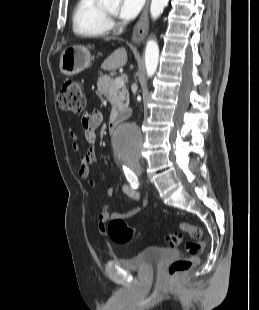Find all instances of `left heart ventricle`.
<instances>
[{
	"instance_id": "obj_1",
	"label": "left heart ventricle",
	"mask_w": 259,
	"mask_h": 310,
	"mask_svg": "<svg viewBox=\"0 0 259 310\" xmlns=\"http://www.w3.org/2000/svg\"><path fill=\"white\" fill-rule=\"evenodd\" d=\"M116 10H117V7L114 6V7H110V8H106V11L110 14H115L116 13Z\"/></svg>"
}]
</instances>
